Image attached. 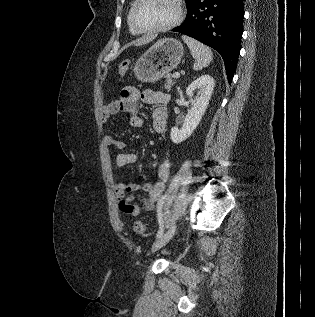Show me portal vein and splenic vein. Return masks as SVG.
<instances>
[{"label": "portal vein and splenic vein", "mask_w": 315, "mask_h": 317, "mask_svg": "<svg viewBox=\"0 0 315 317\" xmlns=\"http://www.w3.org/2000/svg\"><path fill=\"white\" fill-rule=\"evenodd\" d=\"M173 77H174V78H179V77H180V73H179V72H175V73L173 74Z\"/></svg>", "instance_id": "18ae733b"}]
</instances>
